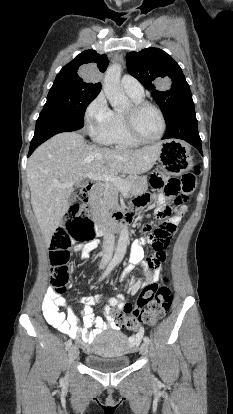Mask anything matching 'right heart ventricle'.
Wrapping results in <instances>:
<instances>
[{
    "instance_id": "e07e8e85",
    "label": "right heart ventricle",
    "mask_w": 233,
    "mask_h": 414,
    "mask_svg": "<svg viewBox=\"0 0 233 414\" xmlns=\"http://www.w3.org/2000/svg\"><path fill=\"white\" fill-rule=\"evenodd\" d=\"M129 96L134 102L143 100V97L138 98L131 95ZM106 143L120 149H130L140 145V143L134 140L126 131L123 114L121 112L112 111Z\"/></svg>"
}]
</instances>
